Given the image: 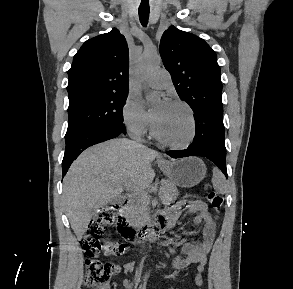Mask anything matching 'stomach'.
<instances>
[{"label":"stomach","instance_id":"obj_1","mask_svg":"<svg viewBox=\"0 0 293 289\" xmlns=\"http://www.w3.org/2000/svg\"><path fill=\"white\" fill-rule=\"evenodd\" d=\"M159 166L171 182L182 187H193L206 175V166L197 157L166 161Z\"/></svg>","mask_w":293,"mask_h":289}]
</instances>
